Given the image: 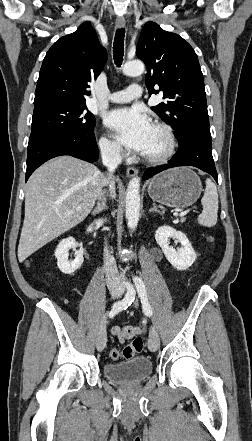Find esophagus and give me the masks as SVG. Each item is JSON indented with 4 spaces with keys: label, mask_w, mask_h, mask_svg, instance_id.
<instances>
[{
    "label": "esophagus",
    "mask_w": 252,
    "mask_h": 441,
    "mask_svg": "<svg viewBox=\"0 0 252 441\" xmlns=\"http://www.w3.org/2000/svg\"><path fill=\"white\" fill-rule=\"evenodd\" d=\"M126 25L125 19L122 17L116 18V27L117 28H124ZM138 174V170L134 167H128L126 170V175L129 178H132Z\"/></svg>",
    "instance_id": "34e87169"
}]
</instances>
